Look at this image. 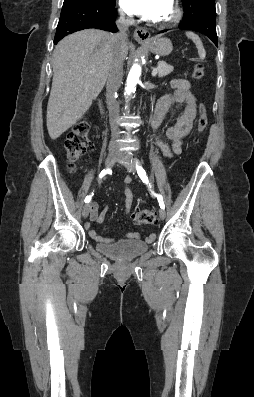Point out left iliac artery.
<instances>
[{
    "label": "left iliac artery",
    "mask_w": 254,
    "mask_h": 397,
    "mask_svg": "<svg viewBox=\"0 0 254 397\" xmlns=\"http://www.w3.org/2000/svg\"><path fill=\"white\" fill-rule=\"evenodd\" d=\"M136 162H137L136 169H137V172H138L139 177L141 178V180H142L144 183L148 184V176H147L145 170H144L140 165H138V161H136ZM151 192H152V194H153L154 196L157 197L160 207H161L162 209H164V208H165V204H164V201H163L162 196L156 194L154 191H151Z\"/></svg>",
    "instance_id": "44dca946"
}]
</instances>
